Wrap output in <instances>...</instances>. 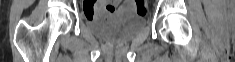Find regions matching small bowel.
<instances>
[{
  "mask_svg": "<svg viewBox=\"0 0 235 62\" xmlns=\"http://www.w3.org/2000/svg\"><path fill=\"white\" fill-rule=\"evenodd\" d=\"M95 3H87L85 5V9L90 7L91 5H94ZM119 4V1H109V2H104V5L107 7V9L109 10V14L115 12V10L117 9V6ZM132 3L131 2H125L124 3V7H132ZM92 19V18H91ZM94 19H97V18H94Z\"/></svg>",
  "mask_w": 235,
  "mask_h": 62,
  "instance_id": "c3829d8e",
  "label": "small bowel"
}]
</instances>
